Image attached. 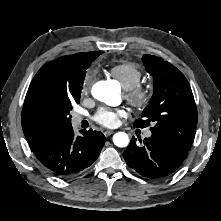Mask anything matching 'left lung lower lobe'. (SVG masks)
Masks as SVG:
<instances>
[{
  "label": "left lung lower lobe",
  "mask_w": 221,
  "mask_h": 221,
  "mask_svg": "<svg viewBox=\"0 0 221 221\" xmlns=\"http://www.w3.org/2000/svg\"><path fill=\"white\" fill-rule=\"evenodd\" d=\"M142 144L132 139L123 153L130 168L141 176L158 180L173 174L184 162L188 152L164 137L152 134Z\"/></svg>",
  "instance_id": "left-lung-lower-lobe-1"
}]
</instances>
